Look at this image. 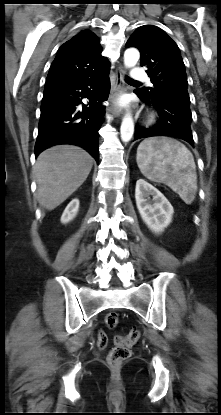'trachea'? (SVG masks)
<instances>
[{"instance_id":"trachea-1","label":"trachea","mask_w":221,"mask_h":415,"mask_svg":"<svg viewBox=\"0 0 221 415\" xmlns=\"http://www.w3.org/2000/svg\"><path fill=\"white\" fill-rule=\"evenodd\" d=\"M126 80H127L128 82H130V83H138L137 81H135V80H133V79H131V78H129V77H127V78H126Z\"/></svg>"}]
</instances>
